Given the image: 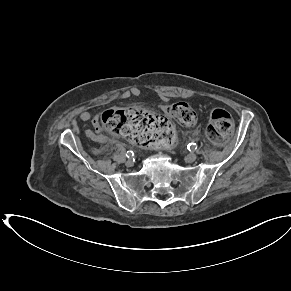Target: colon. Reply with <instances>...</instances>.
<instances>
[{
  "label": "colon",
  "mask_w": 291,
  "mask_h": 291,
  "mask_svg": "<svg viewBox=\"0 0 291 291\" xmlns=\"http://www.w3.org/2000/svg\"><path fill=\"white\" fill-rule=\"evenodd\" d=\"M169 116L184 126L196 123L197 115L185 102H175L168 107ZM101 124L112 134L123 136L141 147H163L173 142L175 130L173 124L157 113L133 108L128 110L110 109L102 113ZM234 128L232 116L221 108L210 113L207 127L208 139L214 145L223 144Z\"/></svg>",
  "instance_id": "colon-1"
}]
</instances>
